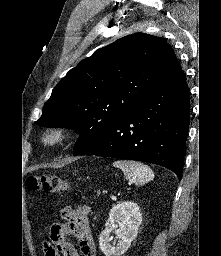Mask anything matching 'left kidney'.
I'll return each instance as SVG.
<instances>
[{"instance_id":"obj_1","label":"left kidney","mask_w":221,"mask_h":256,"mask_svg":"<svg viewBox=\"0 0 221 256\" xmlns=\"http://www.w3.org/2000/svg\"><path fill=\"white\" fill-rule=\"evenodd\" d=\"M142 223V213L139 206L131 201L118 203L109 212L105 229L99 236V246L105 256H120L124 254L135 239ZM114 230L119 239L111 245L110 233Z\"/></svg>"}]
</instances>
